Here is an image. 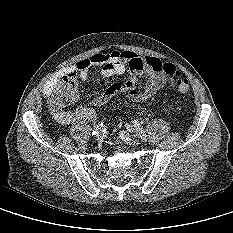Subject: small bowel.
Listing matches in <instances>:
<instances>
[{
	"label": "small bowel",
	"instance_id": "1",
	"mask_svg": "<svg viewBox=\"0 0 233 233\" xmlns=\"http://www.w3.org/2000/svg\"><path fill=\"white\" fill-rule=\"evenodd\" d=\"M164 64L169 63H164L156 57H144L131 51L95 54L63 69L61 78L45 87L44 95L59 123L69 125L76 120L91 121L95 118L92 106L106 104L117 93H125L132 101L139 102L151 98L165 87L172 89L174 87L173 76L163 71ZM92 66L101 68V78L122 75L127 69L132 71L134 77L124 84H111L100 96L90 102L91 106L82 105L74 110L58 107L56 105V89L59 81L66 76L78 75L83 82H88V70ZM138 78L142 80L140 87L137 86Z\"/></svg>",
	"mask_w": 233,
	"mask_h": 233
}]
</instances>
